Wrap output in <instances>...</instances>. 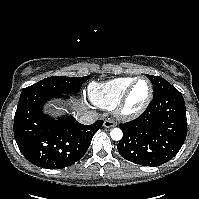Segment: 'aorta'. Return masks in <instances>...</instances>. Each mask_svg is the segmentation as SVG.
Listing matches in <instances>:
<instances>
[{
	"instance_id": "762f6f07",
	"label": "aorta",
	"mask_w": 199,
	"mask_h": 199,
	"mask_svg": "<svg viewBox=\"0 0 199 199\" xmlns=\"http://www.w3.org/2000/svg\"><path fill=\"white\" fill-rule=\"evenodd\" d=\"M110 136L113 140L119 141L123 137L122 130L120 128H113L110 132Z\"/></svg>"
}]
</instances>
